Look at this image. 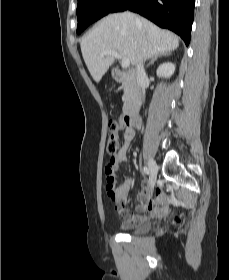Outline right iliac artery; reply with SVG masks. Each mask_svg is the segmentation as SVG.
<instances>
[{
  "mask_svg": "<svg viewBox=\"0 0 229 280\" xmlns=\"http://www.w3.org/2000/svg\"><path fill=\"white\" fill-rule=\"evenodd\" d=\"M143 173H145L146 175H149L150 174V171L147 167H143Z\"/></svg>",
  "mask_w": 229,
  "mask_h": 280,
  "instance_id": "82829eb1",
  "label": "right iliac artery"
}]
</instances>
